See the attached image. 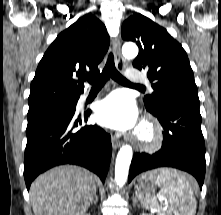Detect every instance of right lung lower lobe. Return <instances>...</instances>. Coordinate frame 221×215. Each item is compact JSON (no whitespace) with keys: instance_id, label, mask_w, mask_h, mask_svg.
I'll list each match as a JSON object with an SVG mask.
<instances>
[{"instance_id":"98d812e1","label":"right lung lower lobe","mask_w":221,"mask_h":215,"mask_svg":"<svg viewBox=\"0 0 221 215\" xmlns=\"http://www.w3.org/2000/svg\"><path fill=\"white\" fill-rule=\"evenodd\" d=\"M75 107L57 108L28 120L24 179L32 181L46 170L76 164L106 178L112 154L111 137L96 125L83 126L90 112L75 116Z\"/></svg>"}]
</instances>
